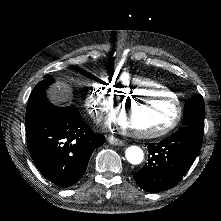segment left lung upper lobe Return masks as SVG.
<instances>
[{
	"instance_id": "1",
	"label": "left lung upper lobe",
	"mask_w": 221,
	"mask_h": 221,
	"mask_svg": "<svg viewBox=\"0 0 221 221\" xmlns=\"http://www.w3.org/2000/svg\"><path fill=\"white\" fill-rule=\"evenodd\" d=\"M204 102L200 94H195L184 106L185 126L204 132Z\"/></svg>"
}]
</instances>
